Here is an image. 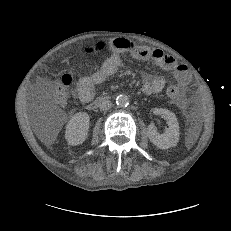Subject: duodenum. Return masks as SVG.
<instances>
[{"label": "duodenum", "instance_id": "1", "mask_svg": "<svg viewBox=\"0 0 231 231\" xmlns=\"http://www.w3.org/2000/svg\"><path fill=\"white\" fill-rule=\"evenodd\" d=\"M105 97H101L97 99L93 104L90 105V107L94 108L96 107Z\"/></svg>", "mask_w": 231, "mask_h": 231}]
</instances>
